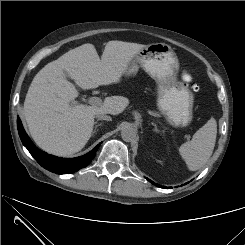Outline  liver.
Returning <instances> with one entry per match:
<instances>
[{
	"label": "liver",
	"instance_id": "obj_1",
	"mask_svg": "<svg viewBox=\"0 0 245 245\" xmlns=\"http://www.w3.org/2000/svg\"><path fill=\"white\" fill-rule=\"evenodd\" d=\"M146 45L109 41L101 59L93 44L76 47L45 65L34 77L24 101V115L35 143L44 151L69 156L91 137L97 113L118 115L129 100L106 97L101 106L76 104L78 90L118 83L133 57Z\"/></svg>",
	"mask_w": 245,
	"mask_h": 245
}]
</instances>
